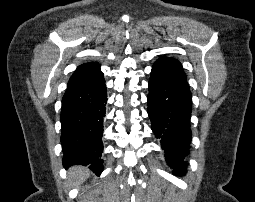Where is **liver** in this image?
Returning <instances> with one entry per match:
<instances>
[{
	"label": "liver",
	"mask_w": 255,
	"mask_h": 202,
	"mask_svg": "<svg viewBox=\"0 0 255 202\" xmlns=\"http://www.w3.org/2000/svg\"><path fill=\"white\" fill-rule=\"evenodd\" d=\"M89 176V171L80 166H75L70 169V178L75 187L81 185Z\"/></svg>",
	"instance_id": "obj_1"
}]
</instances>
